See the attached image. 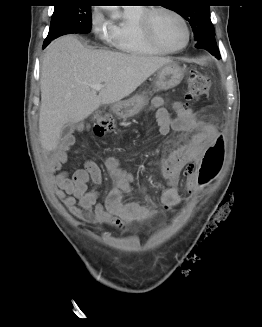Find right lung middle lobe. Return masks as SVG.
<instances>
[{"label":"right lung middle lobe","instance_id":"obj_1","mask_svg":"<svg viewBox=\"0 0 262 327\" xmlns=\"http://www.w3.org/2000/svg\"><path fill=\"white\" fill-rule=\"evenodd\" d=\"M43 47L53 39L69 33H89L91 29V6L78 5L77 0L58 1Z\"/></svg>","mask_w":262,"mask_h":327}]
</instances>
